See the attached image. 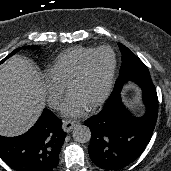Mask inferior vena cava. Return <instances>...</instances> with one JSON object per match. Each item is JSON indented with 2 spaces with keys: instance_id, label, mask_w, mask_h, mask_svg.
Listing matches in <instances>:
<instances>
[{
  "instance_id": "1",
  "label": "inferior vena cava",
  "mask_w": 171,
  "mask_h": 171,
  "mask_svg": "<svg viewBox=\"0 0 171 171\" xmlns=\"http://www.w3.org/2000/svg\"><path fill=\"white\" fill-rule=\"evenodd\" d=\"M58 104H59V103L56 102V103L53 105V107H54V108H57V107H58Z\"/></svg>"
}]
</instances>
